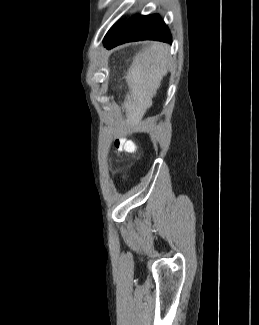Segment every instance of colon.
Masks as SVG:
<instances>
[{
    "label": "colon",
    "instance_id": "colon-1",
    "mask_svg": "<svg viewBox=\"0 0 259 325\" xmlns=\"http://www.w3.org/2000/svg\"><path fill=\"white\" fill-rule=\"evenodd\" d=\"M115 148L119 151H124V152L130 153V154L135 153L137 150V147L135 144H133L129 141L123 140V139L116 140Z\"/></svg>",
    "mask_w": 259,
    "mask_h": 325
}]
</instances>
